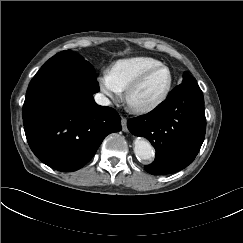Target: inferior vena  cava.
<instances>
[{
  "label": "inferior vena cava",
  "instance_id": "obj_1",
  "mask_svg": "<svg viewBox=\"0 0 243 243\" xmlns=\"http://www.w3.org/2000/svg\"><path fill=\"white\" fill-rule=\"evenodd\" d=\"M94 98L96 103L102 106H109L111 103L110 100L101 93L96 94Z\"/></svg>",
  "mask_w": 243,
  "mask_h": 243
}]
</instances>
